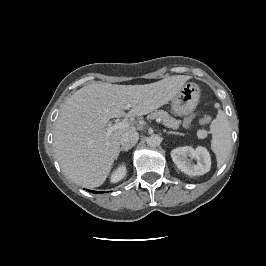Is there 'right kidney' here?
I'll return each mask as SVG.
<instances>
[{
  "label": "right kidney",
  "mask_w": 266,
  "mask_h": 266,
  "mask_svg": "<svg viewBox=\"0 0 266 266\" xmlns=\"http://www.w3.org/2000/svg\"><path fill=\"white\" fill-rule=\"evenodd\" d=\"M125 175H126V166L121 165L111 174L110 181L111 183H117L121 179H123Z\"/></svg>",
  "instance_id": "ca27d5eb"
}]
</instances>
